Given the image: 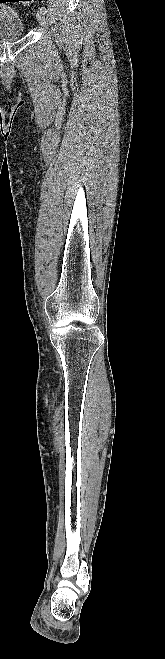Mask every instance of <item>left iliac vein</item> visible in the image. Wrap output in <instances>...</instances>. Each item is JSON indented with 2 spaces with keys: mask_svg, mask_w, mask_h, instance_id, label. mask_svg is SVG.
Returning a JSON list of instances; mask_svg holds the SVG:
<instances>
[{
  "mask_svg": "<svg viewBox=\"0 0 165 659\" xmlns=\"http://www.w3.org/2000/svg\"><path fill=\"white\" fill-rule=\"evenodd\" d=\"M36 18H37V21L40 24V26L45 27V25H46L45 13L42 12L41 10L37 11Z\"/></svg>",
  "mask_w": 165,
  "mask_h": 659,
  "instance_id": "1",
  "label": "left iliac vein"
}]
</instances>
